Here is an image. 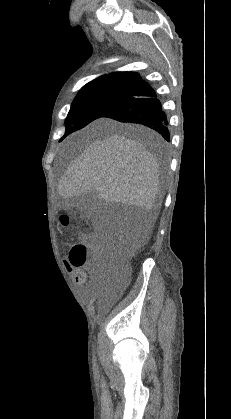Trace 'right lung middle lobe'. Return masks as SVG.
<instances>
[{"instance_id": "obj_1", "label": "right lung middle lobe", "mask_w": 231, "mask_h": 419, "mask_svg": "<svg viewBox=\"0 0 231 419\" xmlns=\"http://www.w3.org/2000/svg\"><path fill=\"white\" fill-rule=\"evenodd\" d=\"M134 89L131 86H99L80 90L65 120L64 137L103 117L129 97Z\"/></svg>"}]
</instances>
